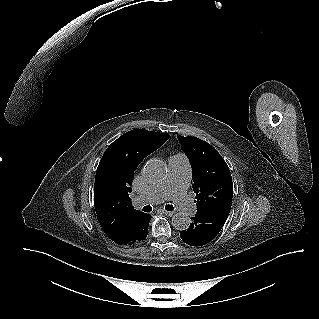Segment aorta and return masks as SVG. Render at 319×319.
Returning <instances> with one entry per match:
<instances>
[{"instance_id": "aorta-1", "label": "aorta", "mask_w": 319, "mask_h": 319, "mask_svg": "<svg viewBox=\"0 0 319 319\" xmlns=\"http://www.w3.org/2000/svg\"><path fill=\"white\" fill-rule=\"evenodd\" d=\"M145 177L152 181L157 182L162 180L167 174L166 164L159 159H151L144 166ZM191 220L186 213H176L172 217V225L177 230H186L190 226Z\"/></svg>"}]
</instances>
